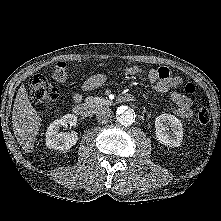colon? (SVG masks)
<instances>
[{"label":"colon","mask_w":221,"mask_h":221,"mask_svg":"<svg viewBox=\"0 0 221 221\" xmlns=\"http://www.w3.org/2000/svg\"><path fill=\"white\" fill-rule=\"evenodd\" d=\"M54 79L64 81L67 78V63L57 62L52 67ZM188 94L195 92V86L192 83H186L183 86ZM30 100L35 104H48L57 97V90L49 80L43 75H35L29 82ZM210 112L206 106H201L197 112V122L201 126H206L210 122Z\"/></svg>","instance_id":"colon-1"}]
</instances>
